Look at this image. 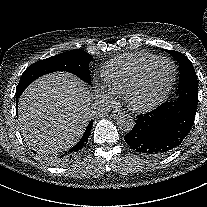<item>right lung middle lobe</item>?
Here are the masks:
<instances>
[{
	"instance_id": "right-lung-middle-lobe-1",
	"label": "right lung middle lobe",
	"mask_w": 207,
	"mask_h": 207,
	"mask_svg": "<svg viewBox=\"0 0 207 207\" xmlns=\"http://www.w3.org/2000/svg\"><path fill=\"white\" fill-rule=\"evenodd\" d=\"M92 60L93 57L87 52L72 50L35 62L22 74L16 89V98L20 97L21 93L31 82L44 74L55 71L72 73L88 84H91L88 68Z\"/></svg>"
}]
</instances>
